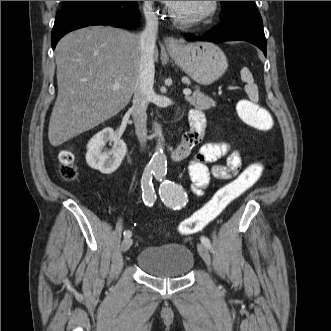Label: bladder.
Here are the masks:
<instances>
[{
	"label": "bladder",
	"instance_id": "obj_1",
	"mask_svg": "<svg viewBox=\"0 0 331 331\" xmlns=\"http://www.w3.org/2000/svg\"><path fill=\"white\" fill-rule=\"evenodd\" d=\"M137 266L152 278L178 279L194 267L192 251L182 243H165L144 248L137 257Z\"/></svg>",
	"mask_w": 331,
	"mask_h": 331
}]
</instances>
